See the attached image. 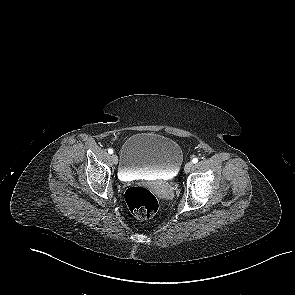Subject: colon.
Wrapping results in <instances>:
<instances>
[{"instance_id":"colon-1","label":"colon","mask_w":295,"mask_h":295,"mask_svg":"<svg viewBox=\"0 0 295 295\" xmlns=\"http://www.w3.org/2000/svg\"><path fill=\"white\" fill-rule=\"evenodd\" d=\"M125 201L130 212L140 220H145L156 214L159 208L157 198L148 189L130 187L125 192Z\"/></svg>"}]
</instances>
